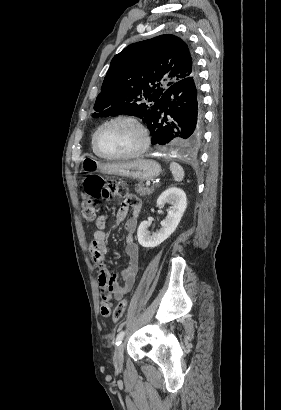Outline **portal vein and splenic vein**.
<instances>
[{
  "label": "portal vein and splenic vein",
  "instance_id": "obj_1",
  "mask_svg": "<svg viewBox=\"0 0 281 410\" xmlns=\"http://www.w3.org/2000/svg\"><path fill=\"white\" fill-rule=\"evenodd\" d=\"M146 185L149 186V185H150V181H147V182H146Z\"/></svg>",
  "mask_w": 281,
  "mask_h": 410
}]
</instances>
